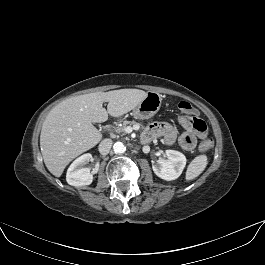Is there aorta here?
<instances>
[{"mask_svg": "<svg viewBox=\"0 0 265 265\" xmlns=\"http://www.w3.org/2000/svg\"><path fill=\"white\" fill-rule=\"evenodd\" d=\"M113 149L116 154H122L126 151V147L122 142H116Z\"/></svg>", "mask_w": 265, "mask_h": 265, "instance_id": "762f6f07", "label": "aorta"}]
</instances>
